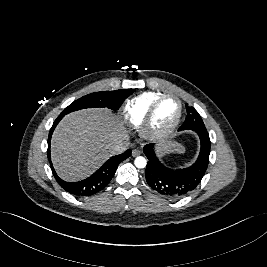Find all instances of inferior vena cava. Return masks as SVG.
<instances>
[{"mask_svg":"<svg viewBox=\"0 0 267 267\" xmlns=\"http://www.w3.org/2000/svg\"><path fill=\"white\" fill-rule=\"evenodd\" d=\"M128 146V141L119 142L113 146V152L114 154L122 153L128 148Z\"/></svg>","mask_w":267,"mask_h":267,"instance_id":"1","label":"inferior vena cava"}]
</instances>
